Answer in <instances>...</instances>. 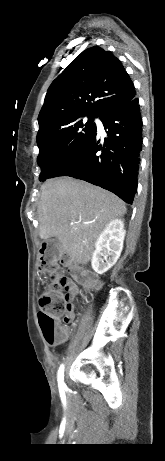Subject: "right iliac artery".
I'll use <instances>...</instances> for the list:
<instances>
[{
    "instance_id": "obj_1",
    "label": "right iliac artery",
    "mask_w": 165,
    "mask_h": 461,
    "mask_svg": "<svg viewBox=\"0 0 165 461\" xmlns=\"http://www.w3.org/2000/svg\"><path fill=\"white\" fill-rule=\"evenodd\" d=\"M63 379H64V366L61 365L58 370V379H57L60 391H62L63 388H66V385Z\"/></svg>"
}]
</instances>
